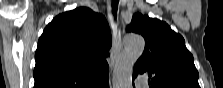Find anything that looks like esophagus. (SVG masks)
<instances>
[{
	"label": "esophagus",
	"instance_id": "obj_1",
	"mask_svg": "<svg viewBox=\"0 0 223 88\" xmlns=\"http://www.w3.org/2000/svg\"><path fill=\"white\" fill-rule=\"evenodd\" d=\"M107 9H108V20L112 29V36H113V44L110 51V66L114 67L120 53H121V32L120 28L118 26V23L115 19V16L112 13L111 3H107Z\"/></svg>",
	"mask_w": 223,
	"mask_h": 88
}]
</instances>
